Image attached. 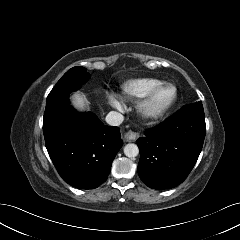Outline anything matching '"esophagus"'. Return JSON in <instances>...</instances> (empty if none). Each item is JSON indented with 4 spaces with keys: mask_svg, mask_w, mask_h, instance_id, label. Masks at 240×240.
Returning <instances> with one entry per match:
<instances>
[{
    "mask_svg": "<svg viewBox=\"0 0 240 240\" xmlns=\"http://www.w3.org/2000/svg\"><path fill=\"white\" fill-rule=\"evenodd\" d=\"M125 139L127 142H134L137 140V138L139 137V133L134 132V131H128L125 135H124Z\"/></svg>",
    "mask_w": 240,
    "mask_h": 240,
    "instance_id": "1",
    "label": "esophagus"
}]
</instances>
